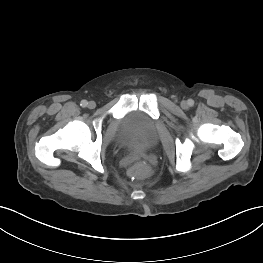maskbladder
I'll use <instances>...</instances> for the list:
<instances>
[{"instance_id": "bladder-1", "label": "bladder", "mask_w": 263, "mask_h": 263, "mask_svg": "<svg viewBox=\"0 0 263 263\" xmlns=\"http://www.w3.org/2000/svg\"><path fill=\"white\" fill-rule=\"evenodd\" d=\"M158 138L155 121L141 111H131L122 119L117 140L120 144L145 150Z\"/></svg>"}]
</instances>
